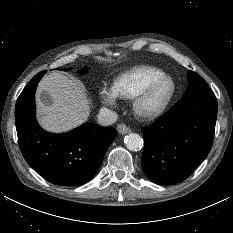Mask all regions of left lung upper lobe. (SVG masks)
Here are the masks:
<instances>
[{
    "label": "left lung upper lobe",
    "mask_w": 233,
    "mask_h": 233,
    "mask_svg": "<svg viewBox=\"0 0 233 233\" xmlns=\"http://www.w3.org/2000/svg\"><path fill=\"white\" fill-rule=\"evenodd\" d=\"M187 78H188L189 84H188V87H187V90L184 96L197 93V92H201V91L210 90L205 80L197 73L189 70L187 74Z\"/></svg>",
    "instance_id": "1"
}]
</instances>
